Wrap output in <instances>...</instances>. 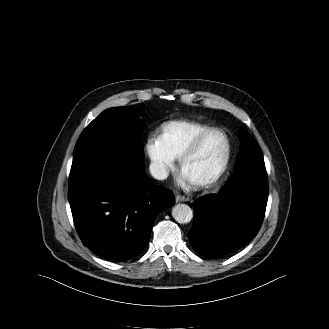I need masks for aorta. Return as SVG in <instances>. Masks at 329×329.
<instances>
[{
  "instance_id": "762f6f07",
  "label": "aorta",
  "mask_w": 329,
  "mask_h": 329,
  "mask_svg": "<svg viewBox=\"0 0 329 329\" xmlns=\"http://www.w3.org/2000/svg\"><path fill=\"white\" fill-rule=\"evenodd\" d=\"M172 216L178 223H189L193 218V211L187 204H177L172 209Z\"/></svg>"
}]
</instances>
